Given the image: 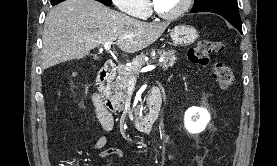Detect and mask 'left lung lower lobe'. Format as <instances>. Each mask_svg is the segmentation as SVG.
I'll use <instances>...</instances> for the list:
<instances>
[{
  "label": "left lung lower lobe",
  "mask_w": 277,
  "mask_h": 166,
  "mask_svg": "<svg viewBox=\"0 0 277 166\" xmlns=\"http://www.w3.org/2000/svg\"><path fill=\"white\" fill-rule=\"evenodd\" d=\"M201 12H212L224 17L230 24H232L242 34V23L238 11H229L224 9H213ZM193 13V12H191Z\"/></svg>",
  "instance_id": "1"
}]
</instances>
